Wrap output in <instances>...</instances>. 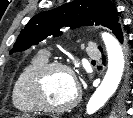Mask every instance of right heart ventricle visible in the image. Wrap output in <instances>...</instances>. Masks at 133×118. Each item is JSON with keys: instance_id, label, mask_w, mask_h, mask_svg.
Here are the masks:
<instances>
[{"instance_id": "right-heart-ventricle-1", "label": "right heart ventricle", "mask_w": 133, "mask_h": 118, "mask_svg": "<svg viewBox=\"0 0 133 118\" xmlns=\"http://www.w3.org/2000/svg\"><path fill=\"white\" fill-rule=\"evenodd\" d=\"M49 61L46 52H39L33 56L18 73L12 87V103L16 110L21 113H32L36 111L34 105L29 101L26 92V83L33 71Z\"/></svg>"}]
</instances>
